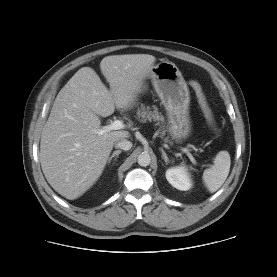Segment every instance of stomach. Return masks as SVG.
Returning a JSON list of instances; mask_svg holds the SVG:
<instances>
[{"mask_svg": "<svg viewBox=\"0 0 277 277\" xmlns=\"http://www.w3.org/2000/svg\"><path fill=\"white\" fill-rule=\"evenodd\" d=\"M146 77L151 79L152 85L165 107L169 134L176 140L187 138L191 132L190 94L178 67L171 61L162 60L153 65ZM145 90L146 84L143 80L138 93H143Z\"/></svg>", "mask_w": 277, "mask_h": 277, "instance_id": "obj_1", "label": "stomach"}]
</instances>
